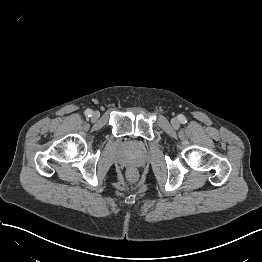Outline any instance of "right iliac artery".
<instances>
[{"label":"right iliac artery","mask_w":262,"mask_h":262,"mask_svg":"<svg viewBox=\"0 0 262 262\" xmlns=\"http://www.w3.org/2000/svg\"><path fill=\"white\" fill-rule=\"evenodd\" d=\"M85 115H86L87 117H91V116H92V110L87 109V110L85 111Z\"/></svg>","instance_id":"right-iliac-artery-1"}]
</instances>
